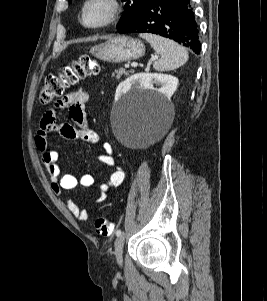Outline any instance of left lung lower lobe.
Here are the masks:
<instances>
[{"instance_id": "0a47b994", "label": "left lung lower lobe", "mask_w": 267, "mask_h": 301, "mask_svg": "<svg viewBox=\"0 0 267 301\" xmlns=\"http://www.w3.org/2000/svg\"><path fill=\"white\" fill-rule=\"evenodd\" d=\"M119 33H152L172 39L200 53L198 26L190 0H148L135 19Z\"/></svg>"}]
</instances>
